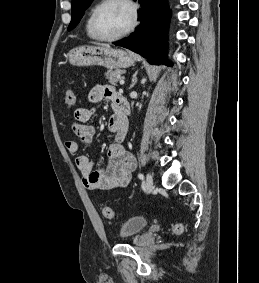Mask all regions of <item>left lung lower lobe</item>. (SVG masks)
Masks as SVG:
<instances>
[{
	"mask_svg": "<svg viewBox=\"0 0 259 283\" xmlns=\"http://www.w3.org/2000/svg\"><path fill=\"white\" fill-rule=\"evenodd\" d=\"M138 1L142 7L140 26L128 38L114 45L130 49L146 57L150 63L159 64L166 61V34L171 13L162 0Z\"/></svg>",
	"mask_w": 259,
	"mask_h": 283,
	"instance_id": "1",
	"label": "left lung lower lobe"
}]
</instances>
